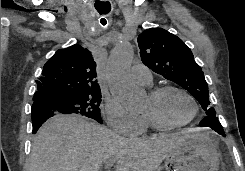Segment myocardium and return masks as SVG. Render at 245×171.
<instances>
[{"label": "myocardium", "mask_w": 245, "mask_h": 171, "mask_svg": "<svg viewBox=\"0 0 245 171\" xmlns=\"http://www.w3.org/2000/svg\"><path fill=\"white\" fill-rule=\"evenodd\" d=\"M167 91H177L181 93L182 95H184L189 100V102L192 105V109H193L191 116L184 122L175 123V124L162 121L152 112H144V116L148 119V121L154 128L159 129V130H164V131L175 130V129H179V128L187 126L198 115L199 108H198V104L195 98L184 88L176 86V85H170V84L162 85V86L154 88L153 90L150 91L149 97L152 100H156Z\"/></svg>", "instance_id": "1"}]
</instances>
